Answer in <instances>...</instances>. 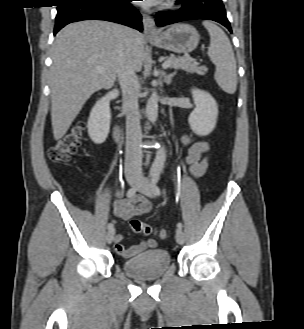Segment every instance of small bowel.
Listing matches in <instances>:
<instances>
[{
    "mask_svg": "<svg viewBox=\"0 0 304 329\" xmlns=\"http://www.w3.org/2000/svg\"><path fill=\"white\" fill-rule=\"evenodd\" d=\"M182 143L187 147L186 163L189 166L190 172L194 176L204 174L208 164L209 146L204 141H199L185 135L182 138ZM152 209L151 201L143 196H133L128 199H118L115 202L114 211L116 216L123 220H129L135 216H141ZM123 236L118 234L115 237L114 248L116 252L123 258H130L146 249L155 248L156 241L153 239L144 240L136 245L126 247L122 244Z\"/></svg>",
    "mask_w": 304,
    "mask_h": 329,
    "instance_id": "obj_1",
    "label": "small bowel"
}]
</instances>
